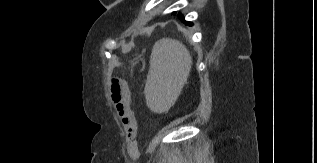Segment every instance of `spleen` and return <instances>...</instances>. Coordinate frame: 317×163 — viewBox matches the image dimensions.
<instances>
[{"label":"spleen","mask_w":317,"mask_h":163,"mask_svg":"<svg viewBox=\"0 0 317 163\" xmlns=\"http://www.w3.org/2000/svg\"><path fill=\"white\" fill-rule=\"evenodd\" d=\"M192 65L187 48L178 40L163 38L152 49L144 94L156 113L167 112L175 103Z\"/></svg>","instance_id":"3e777b00"}]
</instances>
